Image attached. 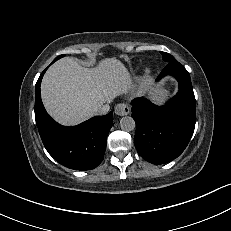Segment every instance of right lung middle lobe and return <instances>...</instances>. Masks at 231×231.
Masks as SVG:
<instances>
[{
    "label": "right lung middle lobe",
    "mask_w": 231,
    "mask_h": 231,
    "mask_svg": "<svg viewBox=\"0 0 231 231\" xmlns=\"http://www.w3.org/2000/svg\"><path fill=\"white\" fill-rule=\"evenodd\" d=\"M63 56H64V55H60V56H58V57L56 58V60H57V59H59V58H61V57H63Z\"/></svg>",
    "instance_id": "right-lung-middle-lobe-1"
}]
</instances>
